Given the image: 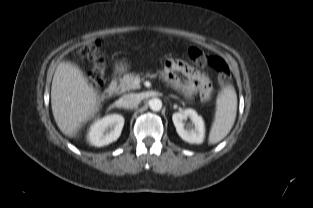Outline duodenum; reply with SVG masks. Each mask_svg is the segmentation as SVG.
I'll return each mask as SVG.
<instances>
[{"mask_svg": "<svg viewBox=\"0 0 313 208\" xmlns=\"http://www.w3.org/2000/svg\"><path fill=\"white\" fill-rule=\"evenodd\" d=\"M117 84L115 82H111L104 90V96L106 98H110L112 97V95L114 94L115 90H116Z\"/></svg>", "mask_w": 313, "mask_h": 208, "instance_id": "duodenum-1", "label": "duodenum"}]
</instances>
